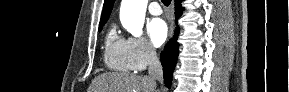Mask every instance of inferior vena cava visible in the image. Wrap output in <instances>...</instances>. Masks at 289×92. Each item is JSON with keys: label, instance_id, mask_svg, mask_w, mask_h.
Listing matches in <instances>:
<instances>
[{"label": "inferior vena cava", "instance_id": "1", "mask_svg": "<svg viewBox=\"0 0 289 92\" xmlns=\"http://www.w3.org/2000/svg\"><path fill=\"white\" fill-rule=\"evenodd\" d=\"M147 53L149 64L148 73L150 78L153 80L162 81L163 80L162 66L155 49L151 45L147 47Z\"/></svg>", "mask_w": 289, "mask_h": 92}]
</instances>
